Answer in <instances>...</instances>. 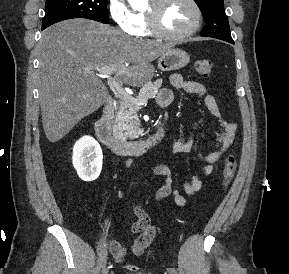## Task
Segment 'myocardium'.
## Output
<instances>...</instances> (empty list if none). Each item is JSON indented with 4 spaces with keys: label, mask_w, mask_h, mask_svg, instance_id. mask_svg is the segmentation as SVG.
Segmentation results:
<instances>
[{
    "label": "myocardium",
    "mask_w": 289,
    "mask_h": 274,
    "mask_svg": "<svg viewBox=\"0 0 289 274\" xmlns=\"http://www.w3.org/2000/svg\"><path fill=\"white\" fill-rule=\"evenodd\" d=\"M169 1L170 0H152L146 11L148 26L152 34L159 38L172 41H180L193 36L199 30L203 18L202 10L198 2L196 0H187L195 12L194 24L182 33H170L166 31L161 24L162 11Z\"/></svg>",
    "instance_id": "obj_1"
}]
</instances>
